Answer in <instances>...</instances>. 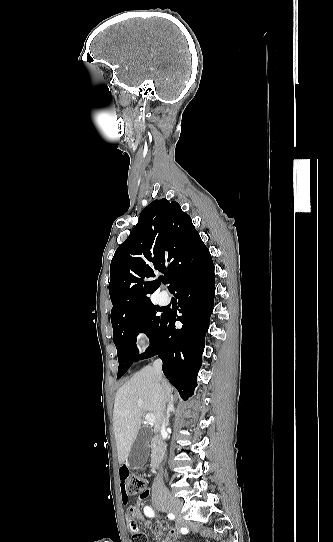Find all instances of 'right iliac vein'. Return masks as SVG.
<instances>
[{
  "label": "right iliac vein",
  "mask_w": 333,
  "mask_h": 542,
  "mask_svg": "<svg viewBox=\"0 0 333 542\" xmlns=\"http://www.w3.org/2000/svg\"><path fill=\"white\" fill-rule=\"evenodd\" d=\"M156 505L159 509L163 511H170L173 514L178 515L179 521L177 524V529L179 530L181 527V521L183 520L182 516L180 515V510L182 508L181 501L175 497H172L168 493H165L164 500L158 501Z\"/></svg>",
  "instance_id": "obj_1"
}]
</instances>
